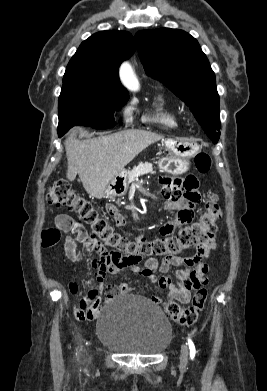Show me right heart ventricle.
I'll return each instance as SVG.
<instances>
[{
    "instance_id": "1",
    "label": "right heart ventricle",
    "mask_w": 267,
    "mask_h": 391,
    "mask_svg": "<svg viewBox=\"0 0 267 391\" xmlns=\"http://www.w3.org/2000/svg\"><path fill=\"white\" fill-rule=\"evenodd\" d=\"M143 120L160 123L169 128H176L180 124L177 113L167 106L162 97L155 99L151 111L143 116Z\"/></svg>"
}]
</instances>
